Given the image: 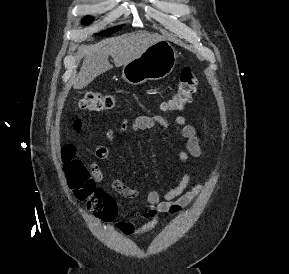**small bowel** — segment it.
Wrapping results in <instances>:
<instances>
[{"label":"small bowel","instance_id":"1","mask_svg":"<svg viewBox=\"0 0 289 274\" xmlns=\"http://www.w3.org/2000/svg\"><path fill=\"white\" fill-rule=\"evenodd\" d=\"M174 125L186 142L180 146L178 157L184 165H188L191 157L202 158L203 150L200 145V138L197 130L193 125L187 124L184 116H177L174 120ZM168 121L162 115L147 116L141 115L135 118L132 123L134 130H158L162 127H168ZM129 127V122L123 119L119 122L118 128L120 131H125ZM105 137L108 140L115 138V131L108 129L105 132ZM95 155L99 159H109L110 151L105 145H97ZM89 169L95 182L100 183L103 180L101 168L96 163H90ZM190 182V173L187 171L181 177L179 183L174 188L160 194L156 190H150L147 193L146 201L148 209L142 214L144 223L137 225L135 221H121L116 227L124 235H142L151 231L159 222V217L165 212L179 211L183 206L188 205L200 193L201 185H195L190 190L187 187ZM112 189L123 198H136L138 190L125 185L121 180L115 179L112 182Z\"/></svg>","mask_w":289,"mask_h":274}]
</instances>
